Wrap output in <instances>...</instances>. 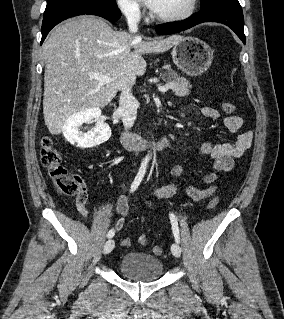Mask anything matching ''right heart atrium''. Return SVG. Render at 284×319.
<instances>
[{"label":"right heart atrium","instance_id":"right-heart-atrium-1","mask_svg":"<svg viewBox=\"0 0 284 319\" xmlns=\"http://www.w3.org/2000/svg\"><path fill=\"white\" fill-rule=\"evenodd\" d=\"M117 5L127 20L139 22L142 19L143 10L137 0H117Z\"/></svg>","mask_w":284,"mask_h":319}]
</instances>
